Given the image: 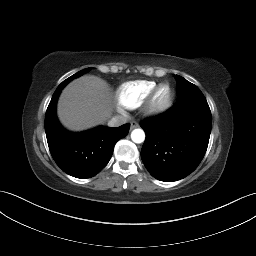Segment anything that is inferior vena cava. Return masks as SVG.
Here are the masks:
<instances>
[{
  "label": "inferior vena cava",
  "mask_w": 256,
  "mask_h": 256,
  "mask_svg": "<svg viewBox=\"0 0 256 256\" xmlns=\"http://www.w3.org/2000/svg\"><path fill=\"white\" fill-rule=\"evenodd\" d=\"M127 122V118L125 116L122 115H117L112 117L109 121H108V126L109 127H118L120 125H123Z\"/></svg>",
  "instance_id": "602c4592"
}]
</instances>
